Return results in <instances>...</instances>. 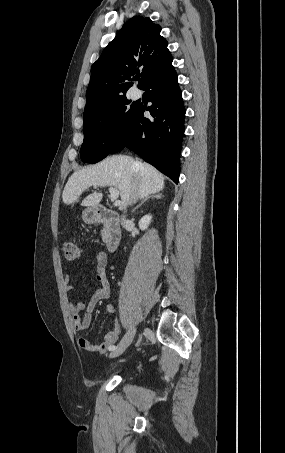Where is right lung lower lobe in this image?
I'll return each mask as SVG.
<instances>
[{
	"label": "right lung lower lobe",
	"instance_id": "98d812e1",
	"mask_svg": "<svg viewBox=\"0 0 285 453\" xmlns=\"http://www.w3.org/2000/svg\"><path fill=\"white\" fill-rule=\"evenodd\" d=\"M143 89L152 105L137 106L126 133L111 153L127 147L178 183L185 108L174 67L153 76ZM145 110L152 118L143 116Z\"/></svg>",
	"mask_w": 285,
	"mask_h": 453
}]
</instances>
